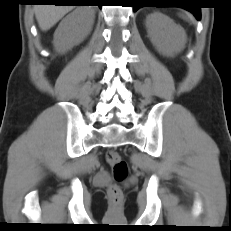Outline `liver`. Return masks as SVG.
Returning a JSON list of instances; mask_svg holds the SVG:
<instances>
[{
	"label": "liver",
	"mask_w": 231,
	"mask_h": 231,
	"mask_svg": "<svg viewBox=\"0 0 231 231\" xmlns=\"http://www.w3.org/2000/svg\"><path fill=\"white\" fill-rule=\"evenodd\" d=\"M73 9V5H37L34 12L39 27L46 31Z\"/></svg>",
	"instance_id": "liver-1"
}]
</instances>
